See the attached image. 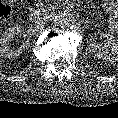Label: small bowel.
Listing matches in <instances>:
<instances>
[{
	"mask_svg": "<svg viewBox=\"0 0 118 118\" xmlns=\"http://www.w3.org/2000/svg\"><path fill=\"white\" fill-rule=\"evenodd\" d=\"M116 6H118V5L116 4ZM115 30L118 31V23H117V25L115 27Z\"/></svg>",
	"mask_w": 118,
	"mask_h": 118,
	"instance_id": "obj_1",
	"label": "small bowel"
}]
</instances>
